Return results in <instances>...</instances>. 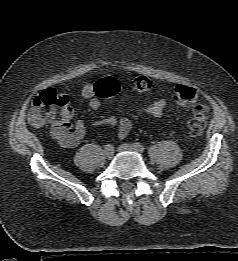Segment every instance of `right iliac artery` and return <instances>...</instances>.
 Here are the masks:
<instances>
[{
    "label": "right iliac artery",
    "mask_w": 238,
    "mask_h": 261,
    "mask_svg": "<svg viewBox=\"0 0 238 261\" xmlns=\"http://www.w3.org/2000/svg\"><path fill=\"white\" fill-rule=\"evenodd\" d=\"M113 149H114V146H113L112 144H107V145L105 146V150H106L107 152H111Z\"/></svg>",
    "instance_id": "1"
}]
</instances>
